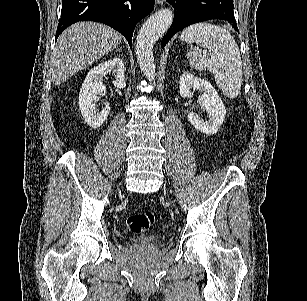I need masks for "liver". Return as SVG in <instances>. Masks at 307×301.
Here are the masks:
<instances>
[{
  "label": "liver",
  "mask_w": 307,
  "mask_h": 301,
  "mask_svg": "<svg viewBox=\"0 0 307 301\" xmlns=\"http://www.w3.org/2000/svg\"><path fill=\"white\" fill-rule=\"evenodd\" d=\"M122 34L101 22H75L63 30L53 48L51 74L54 84H62L75 72L96 62L121 44Z\"/></svg>",
  "instance_id": "liver-1"
}]
</instances>
